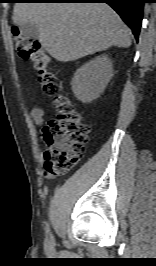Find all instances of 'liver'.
Listing matches in <instances>:
<instances>
[{
	"label": "liver",
	"mask_w": 156,
	"mask_h": 266,
	"mask_svg": "<svg viewBox=\"0 0 156 266\" xmlns=\"http://www.w3.org/2000/svg\"><path fill=\"white\" fill-rule=\"evenodd\" d=\"M12 19L20 27L35 24L41 45L62 62L131 45L129 28L105 3H16Z\"/></svg>",
	"instance_id": "liver-1"
}]
</instances>
